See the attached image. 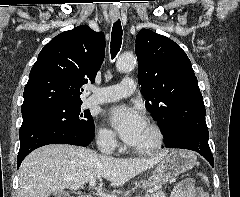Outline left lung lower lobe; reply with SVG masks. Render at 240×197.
I'll list each match as a JSON object with an SVG mask.
<instances>
[{"mask_svg": "<svg viewBox=\"0 0 240 197\" xmlns=\"http://www.w3.org/2000/svg\"><path fill=\"white\" fill-rule=\"evenodd\" d=\"M159 128L166 147L196 151L214 167L203 100L193 99L183 112L166 116Z\"/></svg>", "mask_w": 240, "mask_h": 197, "instance_id": "0a47b994", "label": "left lung lower lobe"}]
</instances>
